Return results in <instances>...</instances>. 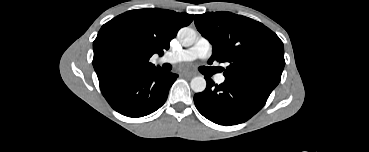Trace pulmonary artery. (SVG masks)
Segmentation results:
<instances>
[{"instance_id": "1", "label": "pulmonary artery", "mask_w": 369, "mask_h": 152, "mask_svg": "<svg viewBox=\"0 0 369 152\" xmlns=\"http://www.w3.org/2000/svg\"><path fill=\"white\" fill-rule=\"evenodd\" d=\"M211 54L212 46L210 42L206 38L200 37L191 48L176 53H169L164 57V60L171 63L188 62L197 58L207 59ZM215 80L217 83L221 84L225 81V76L223 74H218Z\"/></svg>"}]
</instances>
